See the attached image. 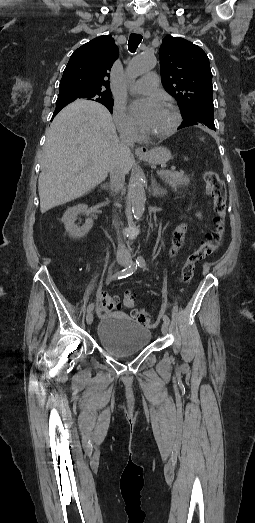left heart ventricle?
Instances as JSON below:
<instances>
[{
	"instance_id": "1",
	"label": "left heart ventricle",
	"mask_w": 255,
	"mask_h": 523,
	"mask_svg": "<svg viewBox=\"0 0 255 523\" xmlns=\"http://www.w3.org/2000/svg\"><path fill=\"white\" fill-rule=\"evenodd\" d=\"M175 113L167 105H159L153 112L147 126L143 129L148 138H156L168 132L173 126Z\"/></svg>"
}]
</instances>
